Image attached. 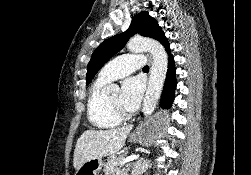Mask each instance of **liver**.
<instances>
[{
	"label": "liver",
	"instance_id": "1",
	"mask_svg": "<svg viewBox=\"0 0 251 175\" xmlns=\"http://www.w3.org/2000/svg\"><path fill=\"white\" fill-rule=\"evenodd\" d=\"M132 125L116 127V129H86L78 137L74 149L73 165L78 169L86 159L103 157L118 153L125 145L126 137L130 133Z\"/></svg>",
	"mask_w": 251,
	"mask_h": 175
}]
</instances>
